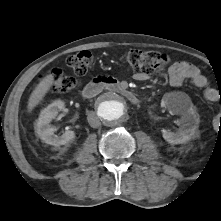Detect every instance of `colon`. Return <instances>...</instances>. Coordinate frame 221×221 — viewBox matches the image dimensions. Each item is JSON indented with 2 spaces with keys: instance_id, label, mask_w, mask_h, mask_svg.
Masks as SVG:
<instances>
[{
  "instance_id": "obj_1",
  "label": "colon",
  "mask_w": 221,
  "mask_h": 221,
  "mask_svg": "<svg viewBox=\"0 0 221 221\" xmlns=\"http://www.w3.org/2000/svg\"><path fill=\"white\" fill-rule=\"evenodd\" d=\"M124 62L134 71L151 75L162 71L169 63V56L157 51H142L133 49L123 56ZM92 63V53L88 50L80 51L67 59L68 67L77 75L87 73ZM52 90L66 93L78 86V81L73 76L65 74L60 69L49 73ZM221 104V97H220Z\"/></svg>"
}]
</instances>
